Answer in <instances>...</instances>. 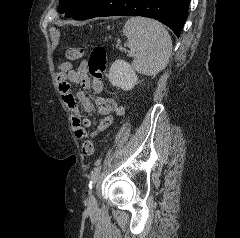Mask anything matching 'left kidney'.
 <instances>
[{
    "label": "left kidney",
    "mask_w": 240,
    "mask_h": 238,
    "mask_svg": "<svg viewBox=\"0 0 240 238\" xmlns=\"http://www.w3.org/2000/svg\"><path fill=\"white\" fill-rule=\"evenodd\" d=\"M108 79L113 86L131 90L138 81L134 68L124 60H116L110 67Z\"/></svg>",
    "instance_id": "5707ae66"
}]
</instances>
